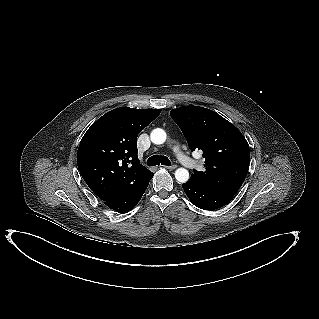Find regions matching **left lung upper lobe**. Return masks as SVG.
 <instances>
[{
    "instance_id": "1",
    "label": "left lung upper lobe",
    "mask_w": 319,
    "mask_h": 319,
    "mask_svg": "<svg viewBox=\"0 0 319 319\" xmlns=\"http://www.w3.org/2000/svg\"><path fill=\"white\" fill-rule=\"evenodd\" d=\"M170 115L190 148L203 152L205 170H195L191 178L234 196L249 169V145L242 133L207 108L184 106Z\"/></svg>"
}]
</instances>
